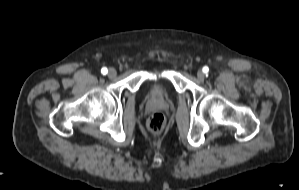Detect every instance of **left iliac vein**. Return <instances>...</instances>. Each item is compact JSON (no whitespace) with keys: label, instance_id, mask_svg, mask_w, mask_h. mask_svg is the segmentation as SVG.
I'll use <instances>...</instances> for the list:
<instances>
[{"label":"left iliac vein","instance_id":"obj_1","mask_svg":"<svg viewBox=\"0 0 299 190\" xmlns=\"http://www.w3.org/2000/svg\"><path fill=\"white\" fill-rule=\"evenodd\" d=\"M197 78L200 80V81H203L205 79V73L202 71V70H199L197 72Z\"/></svg>","mask_w":299,"mask_h":190}]
</instances>
